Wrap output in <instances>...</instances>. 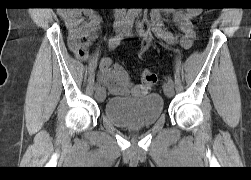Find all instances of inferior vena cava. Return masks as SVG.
Here are the masks:
<instances>
[{"label":"inferior vena cava","mask_w":251,"mask_h":180,"mask_svg":"<svg viewBox=\"0 0 251 180\" xmlns=\"http://www.w3.org/2000/svg\"><path fill=\"white\" fill-rule=\"evenodd\" d=\"M125 16V11L120 8L115 9V18H120Z\"/></svg>","instance_id":"inferior-vena-cava-1"}]
</instances>
